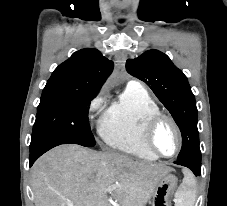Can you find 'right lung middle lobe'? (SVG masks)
<instances>
[{"mask_svg":"<svg viewBox=\"0 0 227 206\" xmlns=\"http://www.w3.org/2000/svg\"><path fill=\"white\" fill-rule=\"evenodd\" d=\"M97 94L44 88L37 108L31 144L48 137H61L85 147L95 146L88 125L87 104Z\"/></svg>","mask_w":227,"mask_h":206,"instance_id":"right-lung-middle-lobe-1","label":"right lung middle lobe"}]
</instances>
